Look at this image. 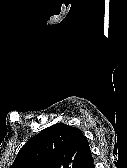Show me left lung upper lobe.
I'll list each match as a JSON object with an SVG mask.
<instances>
[{"mask_svg":"<svg viewBox=\"0 0 127 168\" xmlns=\"http://www.w3.org/2000/svg\"><path fill=\"white\" fill-rule=\"evenodd\" d=\"M87 146L81 130L57 123L28 140L10 168H79Z\"/></svg>","mask_w":127,"mask_h":168,"instance_id":"5c2ea615","label":"left lung upper lobe"}]
</instances>
